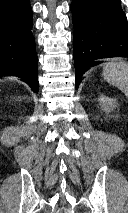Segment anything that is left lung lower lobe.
<instances>
[{
	"mask_svg": "<svg viewBox=\"0 0 128 213\" xmlns=\"http://www.w3.org/2000/svg\"><path fill=\"white\" fill-rule=\"evenodd\" d=\"M76 88L101 58L128 57V24L120 0H72Z\"/></svg>",
	"mask_w": 128,
	"mask_h": 213,
	"instance_id": "left-lung-lower-lobe-1",
	"label": "left lung lower lobe"
}]
</instances>
